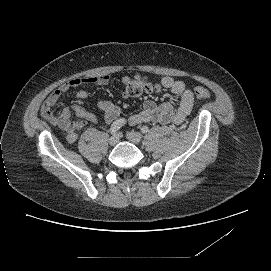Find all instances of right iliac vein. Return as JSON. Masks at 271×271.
Here are the masks:
<instances>
[{
  "mask_svg": "<svg viewBox=\"0 0 271 271\" xmlns=\"http://www.w3.org/2000/svg\"><path fill=\"white\" fill-rule=\"evenodd\" d=\"M118 141H119V136L117 134H115L109 139V144L111 146H114L118 143Z\"/></svg>",
  "mask_w": 271,
  "mask_h": 271,
  "instance_id": "obj_1",
  "label": "right iliac vein"
}]
</instances>
